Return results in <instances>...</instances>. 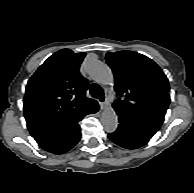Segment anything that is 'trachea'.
I'll list each match as a JSON object with an SVG mask.
<instances>
[{"mask_svg":"<svg viewBox=\"0 0 194 193\" xmlns=\"http://www.w3.org/2000/svg\"><path fill=\"white\" fill-rule=\"evenodd\" d=\"M90 94L94 98H98L100 101H104L103 89L98 85L93 83L90 87Z\"/></svg>","mask_w":194,"mask_h":193,"instance_id":"1","label":"trachea"}]
</instances>
